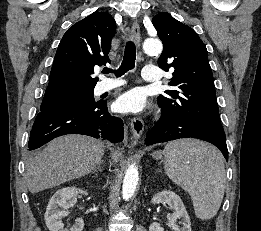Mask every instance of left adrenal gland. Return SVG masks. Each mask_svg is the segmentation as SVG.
I'll return each instance as SVG.
<instances>
[{
    "label": "left adrenal gland",
    "mask_w": 261,
    "mask_h": 231,
    "mask_svg": "<svg viewBox=\"0 0 261 231\" xmlns=\"http://www.w3.org/2000/svg\"><path fill=\"white\" fill-rule=\"evenodd\" d=\"M156 172H161L160 170H156Z\"/></svg>",
    "instance_id": "obj_1"
}]
</instances>
